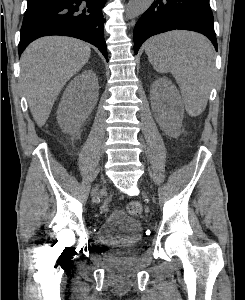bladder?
Instances as JSON below:
<instances>
[{
  "mask_svg": "<svg viewBox=\"0 0 245 300\" xmlns=\"http://www.w3.org/2000/svg\"><path fill=\"white\" fill-rule=\"evenodd\" d=\"M142 223L122 212H113L99 225L97 235L101 243L113 247L132 246L140 241Z\"/></svg>",
  "mask_w": 245,
  "mask_h": 300,
  "instance_id": "obj_1",
  "label": "bladder"
}]
</instances>
